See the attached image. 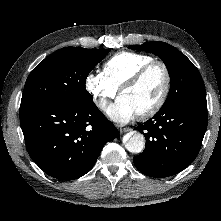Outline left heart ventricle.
I'll return each mask as SVG.
<instances>
[{"mask_svg":"<svg viewBox=\"0 0 221 221\" xmlns=\"http://www.w3.org/2000/svg\"><path fill=\"white\" fill-rule=\"evenodd\" d=\"M164 84L163 69L160 66H153L134 87L124 91L121 96L131 104L137 114L156 103L162 94Z\"/></svg>","mask_w":221,"mask_h":221,"instance_id":"left-heart-ventricle-1","label":"left heart ventricle"}]
</instances>
